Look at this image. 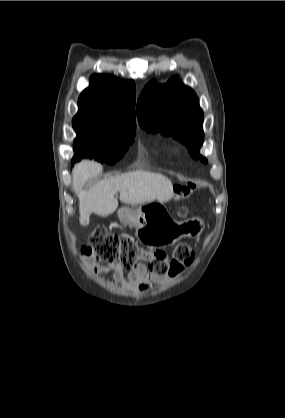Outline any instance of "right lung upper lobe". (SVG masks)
<instances>
[{
    "label": "right lung upper lobe",
    "instance_id": "right-lung-upper-lobe-1",
    "mask_svg": "<svg viewBox=\"0 0 285 418\" xmlns=\"http://www.w3.org/2000/svg\"><path fill=\"white\" fill-rule=\"evenodd\" d=\"M74 118L102 121L121 127L135 125V84L106 75H94L80 95Z\"/></svg>",
    "mask_w": 285,
    "mask_h": 418
}]
</instances>
